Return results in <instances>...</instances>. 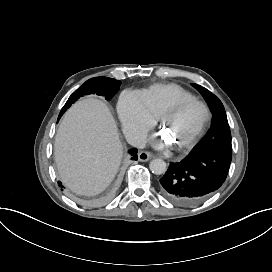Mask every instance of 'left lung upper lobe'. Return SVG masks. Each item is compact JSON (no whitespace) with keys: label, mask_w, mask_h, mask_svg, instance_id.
Returning a JSON list of instances; mask_svg holds the SVG:
<instances>
[{"label":"left lung upper lobe","mask_w":272,"mask_h":272,"mask_svg":"<svg viewBox=\"0 0 272 272\" xmlns=\"http://www.w3.org/2000/svg\"><path fill=\"white\" fill-rule=\"evenodd\" d=\"M204 97L212 112V125L206 135L197 143L190 153L220 151L232 155L231 133L225 109L217 96L206 88L192 84Z\"/></svg>","instance_id":"obj_1"}]
</instances>
